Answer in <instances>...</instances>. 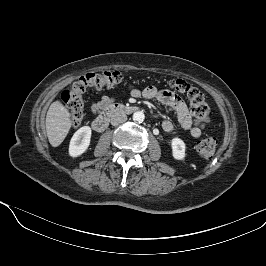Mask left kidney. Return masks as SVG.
I'll list each match as a JSON object with an SVG mask.
<instances>
[{
    "label": "left kidney",
    "instance_id": "obj_1",
    "mask_svg": "<svg viewBox=\"0 0 266 266\" xmlns=\"http://www.w3.org/2000/svg\"><path fill=\"white\" fill-rule=\"evenodd\" d=\"M172 155L176 160H183L185 158V143L180 138H173L171 140Z\"/></svg>",
    "mask_w": 266,
    "mask_h": 266
}]
</instances>
